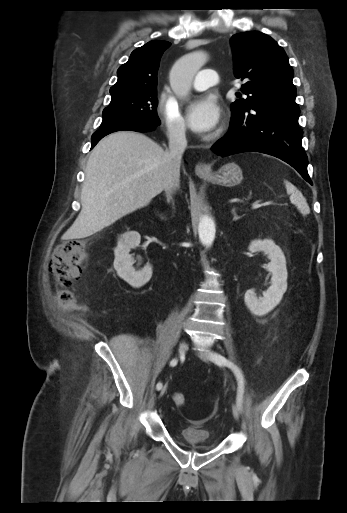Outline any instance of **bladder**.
I'll return each mask as SVG.
<instances>
[{
  "instance_id": "obj_1",
  "label": "bladder",
  "mask_w": 347,
  "mask_h": 513,
  "mask_svg": "<svg viewBox=\"0 0 347 513\" xmlns=\"http://www.w3.org/2000/svg\"><path fill=\"white\" fill-rule=\"evenodd\" d=\"M180 436L187 446L202 451H210L218 446V443L213 440L211 432L205 428L186 426L181 429Z\"/></svg>"
}]
</instances>
